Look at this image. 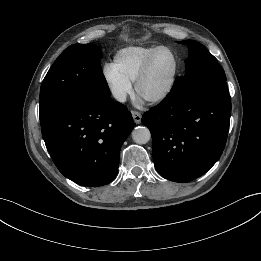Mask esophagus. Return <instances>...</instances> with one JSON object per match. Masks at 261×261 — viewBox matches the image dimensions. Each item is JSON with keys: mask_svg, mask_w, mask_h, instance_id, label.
<instances>
[{"mask_svg": "<svg viewBox=\"0 0 261 261\" xmlns=\"http://www.w3.org/2000/svg\"><path fill=\"white\" fill-rule=\"evenodd\" d=\"M131 113H132V117L134 119V122L136 124H140L141 123V118H142L141 114L139 112H137V111H132Z\"/></svg>", "mask_w": 261, "mask_h": 261, "instance_id": "1", "label": "esophagus"}]
</instances>
